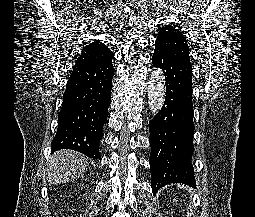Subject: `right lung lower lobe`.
I'll use <instances>...</instances> for the list:
<instances>
[{"instance_id": "obj_1", "label": "right lung lower lobe", "mask_w": 255, "mask_h": 217, "mask_svg": "<svg viewBox=\"0 0 255 217\" xmlns=\"http://www.w3.org/2000/svg\"><path fill=\"white\" fill-rule=\"evenodd\" d=\"M112 59L76 65L67 81L52 151L73 149L100 159L99 143L111 102Z\"/></svg>"}]
</instances>
